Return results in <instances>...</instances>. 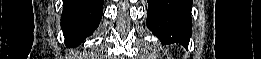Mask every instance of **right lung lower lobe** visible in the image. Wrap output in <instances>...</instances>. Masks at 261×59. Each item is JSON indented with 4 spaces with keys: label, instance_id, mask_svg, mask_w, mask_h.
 I'll return each mask as SVG.
<instances>
[{
    "label": "right lung lower lobe",
    "instance_id": "right-lung-lower-lobe-1",
    "mask_svg": "<svg viewBox=\"0 0 261 59\" xmlns=\"http://www.w3.org/2000/svg\"><path fill=\"white\" fill-rule=\"evenodd\" d=\"M103 0H64L61 28L65 43L76 47L98 27Z\"/></svg>",
    "mask_w": 261,
    "mask_h": 59
}]
</instances>
